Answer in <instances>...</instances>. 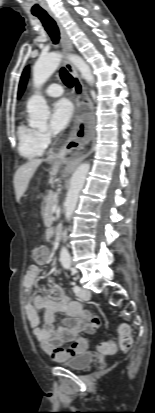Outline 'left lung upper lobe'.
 <instances>
[{"mask_svg":"<svg viewBox=\"0 0 155 413\" xmlns=\"http://www.w3.org/2000/svg\"><path fill=\"white\" fill-rule=\"evenodd\" d=\"M28 67L25 68L22 76H21V80H20V84H19V89H18V97H20L25 89L26 83H27V78H28Z\"/></svg>","mask_w":155,"mask_h":413,"instance_id":"obj_1","label":"left lung upper lobe"}]
</instances>
